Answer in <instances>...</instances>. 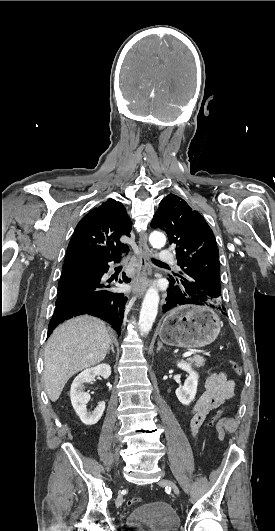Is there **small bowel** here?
I'll list each match as a JSON object with an SVG mask.
<instances>
[{
    "mask_svg": "<svg viewBox=\"0 0 275 531\" xmlns=\"http://www.w3.org/2000/svg\"><path fill=\"white\" fill-rule=\"evenodd\" d=\"M236 382L223 371L209 373L203 381L190 414L189 427L195 436L208 414L235 397Z\"/></svg>",
    "mask_w": 275,
    "mask_h": 531,
    "instance_id": "c3829d8e",
    "label": "small bowel"
}]
</instances>
